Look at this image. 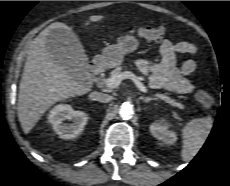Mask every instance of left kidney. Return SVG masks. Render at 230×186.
I'll return each mask as SVG.
<instances>
[{
	"instance_id": "5707ae66",
	"label": "left kidney",
	"mask_w": 230,
	"mask_h": 186,
	"mask_svg": "<svg viewBox=\"0 0 230 186\" xmlns=\"http://www.w3.org/2000/svg\"><path fill=\"white\" fill-rule=\"evenodd\" d=\"M151 134L158 140L163 141L166 144H174L177 140V136L173 131L168 130V124L161 122L153 123L150 126Z\"/></svg>"
}]
</instances>
